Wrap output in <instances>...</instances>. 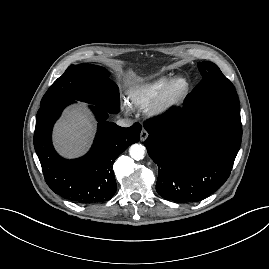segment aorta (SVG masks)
I'll return each mask as SVG.
<instances>
[{
	"mask_svg": "<svg viewBox=\"0 0 269 269\" xmlns=\"http://www.w3.org/2000/svg\"><path fill=\"white\" fill-rule=\"evenodd\" d=\"M145 147L141 144H133L129 149V155L134 160H140L144 157Z\"/></svg>",
	"mask_w": 269,
	"mask_h": 269,
	"instance_id": "1",
	"label": "aorta"
}]
</instances>
